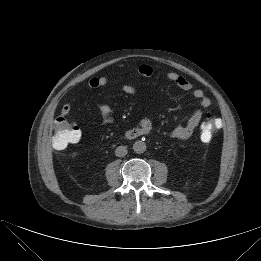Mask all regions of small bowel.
<instances>
[{"mask_svg": "<svg viewBox=\"0 0 261 261\" xmlns=\"http://www.w3.org/2000/svg\"><path fill=\"white\" fill-rule=\"evenodd\" d=\"M138 73L142 76L148 77L153 73V69L149 65H140L138 67ZM165 78L174 84H176L180 89L184 91H191V94L196 98L202 108H207L211 105V100L208 98L203 90L194 89L193 84L184 76L176 72H168L165 74ZM108 80L105 76H94L88 80V86L90 88H101L106 86ZM122 91L128 95H135L136 88L130 84H123L121 87ZM97 111L105 118L110 117L111 107L105 103H98L96 105ZM71 112V105L66 103L61 109V114L63 116L69 115ZM202 119V110L197 109L188 119V121L183 125H178L171 132V138L175 140H187L190 138L194 131L199 126ZM152 130V121L149 117H144L141 119L139 125L134 128L127 129L125 131V137L128 139H134L142 135L148 134Z\"/></svg>", "mask_w": 261, "mask_h": 261, "instance_id": "obj_1", "label": "small bowel"}]
</instances>
